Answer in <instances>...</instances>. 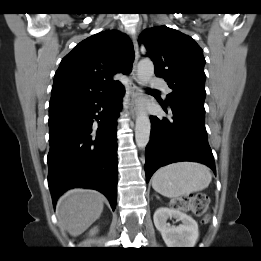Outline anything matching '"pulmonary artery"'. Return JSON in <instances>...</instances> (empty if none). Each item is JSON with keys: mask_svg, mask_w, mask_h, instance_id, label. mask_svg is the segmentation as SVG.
<instances>
[{"mask_svg": "<svg viewBox=\"0 0 261 261\" xmlns=\"http://www.w3.org/2000/svg\"><path fill=\"white\" fill-rule=\"evenodd\" d=\"M151 86L154 89H158V90L162 91L165 94H167L169 92V88H168L167 84L162 79H153L151 81Z\"/></svg>", "mask_w": 261, "mask_h": 261, "instance_id": "e3ab8cb5", "label": "pulmonary artery"}]
</instances>
